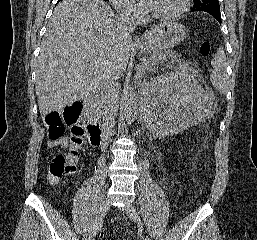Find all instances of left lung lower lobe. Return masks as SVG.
Wrapping results in <instances>:
<instances>
[{"label":"left lung lower lobe","mask_w":257,"mask_h":240,"mask_svg":"<svg viewBox=\"0 0 257 240\" xmlns=\"http://www.w3.org/2000/svg\"><path fill=\"white\" fill-rule=\"evenodd\" d=\"M211 14L221 24V14L217 11H204Z\"/></svg>","instance_id":"0a47b994"}]
</instances>
